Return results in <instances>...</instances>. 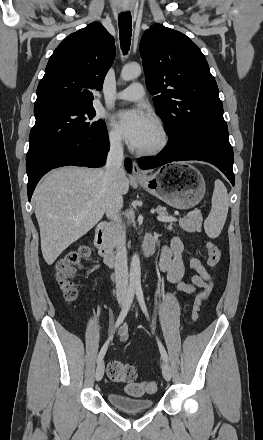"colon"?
Here are the masks:
<instances>
[{"instance_id": "1", "label": "colon", "mask_w": 263, "mask_h": 440, "mask_svg": "<svg viewBox=\"0 0 263 440\" xmlns=\"http://www.w3.org/2000/svg\"><path fill=\"white\" fill-rule=\"evenodd\" d=\"M209 257L208 264L215 268L220 261V248L213 242L206 244ZM89 249L84 247L79 252L68 254L63 259L59 260L55 266V280L63 292L65 299L68 302H73L78 297V290L74 283V276L81 267L83 261L87 258ZM210 294V287H205L197 296L194 310V319L199 317L202 305L207 301ZM107 376L119 383H128L134 380L137 376V368L134 364L124 363L117 360H111L106 365ZM157 385L155 382H139L131 383L126 390L130 395L140 396L146 393L155 392Z\"/></svg>"}]
</instances>
